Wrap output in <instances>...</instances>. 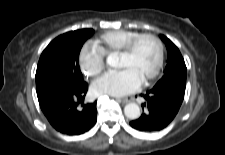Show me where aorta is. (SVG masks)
Listing matches in <instances>:
<instances>
[{"mask_svg":"<svg viewBox=\"0 0 225 155\" xmlns=\"http://www.w3.org/2000/svg\"><path fill=\"white\" fill-rule=\"evenodd\" d=\"M106 62L111 67H117L119 58L118 56L111 54L107 57ZM124 114L127 118L135 120L140 116V107L136 103H129L124 107Z\"/></svg>","mask_w":225,"mask_h":155,"instance_id":"1","label":"aorta"}]
</instances>
